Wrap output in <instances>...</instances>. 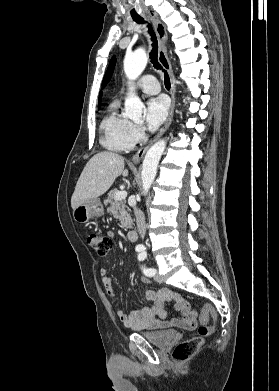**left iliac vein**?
<instances>
[{"label":"left iliac vein","instance_id":"obj_1","mask_svg":"<svg viewBox=\"0 0 279 391\" xmlns=\"http://www.w3.org/2000/svg\"><path fill=\"white\" fill-rule=\"evenodd\" d=\"M154 280L156 282H158V283H161L162 282V277L158 273H156V275L154 276Z\"/></svg>","mask_w":279,"mask_h":391}]
</instances>
